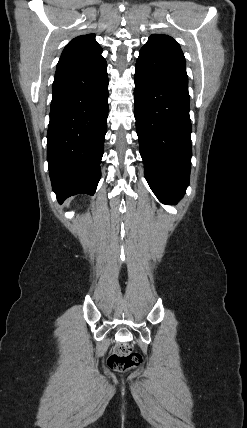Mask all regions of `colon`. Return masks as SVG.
Instances as JSON below:
<instances>
[{
  "label": "colon",
  "mask_w": 247,
  "mask_h": 428,
  "mask_svg": "<svg viewBox=\"0 0 247 428\" xmlns=\"http://www.w3.org/2000/svg\"><path fill=\"white\" fill-rule=\"evenodd\" d=\"M141 355L135 352L127 343L118 344L107 359L109 368L117 371H127L140 365Z\"/></svg>",
  "instance_id": "5ec220e1"
}]
</instances>
